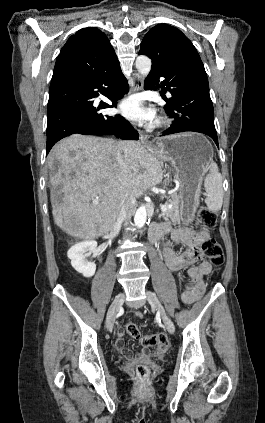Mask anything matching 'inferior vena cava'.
Returning <instances> with one entry per match:
<instances>
[{"mask_svg":"<svg viewBox=\"0 0 265 423\" xmlns=\"http://www.w3.org/2000/svg\"><path fill=\"white\" fill-rule=\"evenodd\" d=\"M126 149V143L124 142H116V150H117V157L122 167L123 164V152ZM135 205V197L132 192L127 187L121 196L120 202V209L118 212V218L122 220L129 219L132 215L133 209Z\"/></svg>","mask_w":265,"mask_h":423,"instance_id":"1","label":"inferior vena cava"}]
</instances>
